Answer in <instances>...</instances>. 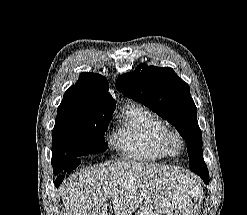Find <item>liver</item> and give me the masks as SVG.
<instances>
[{
  "label": "liver",
  "instance_id": "1",
  "mask_svg": "<svg viewBox=\"0 0 247 215\" xmlns=\"http://www.w3.org/2000/svg\"><path fill=\"white\" fill-rule=\"evenodd\" d=\"M183 175L177 168L123 161L72 175L60 186L66 215H132L167 178Z\"/></svg>",
  "mask_w": 247,
  "mask_h": 215
}]
</instances>
